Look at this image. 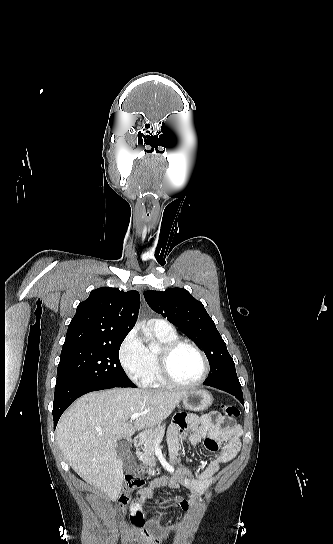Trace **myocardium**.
I'll list each match as a JSON object with an SVG mask.
<instances>
[{"label":"myocardium","mask_w":333,"mask_h":544,"mask_svg":"<svg viewBox=\"0 0 333 544\" xmlns=\"http://www.w3.org/2000/svg\"><path fill=\"white\" fill-rule=\"evenodd\" d=\"M182 347H189L193 349L200 355L203 361V365H204L203 373L201 377L194 382L183 383L178 381L173 376V373L171 370V360L174 354ZM157 364H158V371L161 378L168 385L178 387V388H193V387L199 386L207 379L210 373V363H209V359L207 355L200 347H198L196 344L188 340L177 339V340L162 344L158 348V351H157Z\"/></svg>","instance_id":"f54148a6"}]
</instances>
